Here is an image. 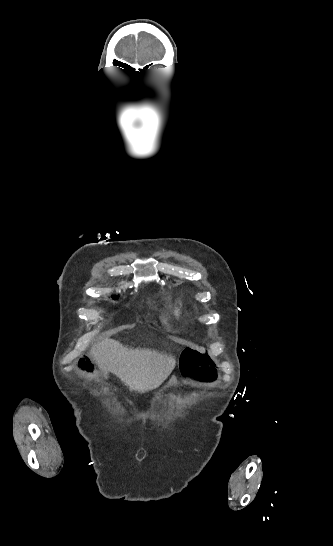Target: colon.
<instances>
[{
	"label": "colon",
	"mask_w": 333,
	"mask_h": 546,
	"mask_svg": "<svg viewBox=\"0 0 333 546\" xmlns=\"http://www.w3.org/2000/svg\"><path fill=\"white\" fill-rule=\"evenodd\" d=\"M79 367L86 371H94L93 364H88L85 358L79 360ZM182 371L184 375L194 378L200 382H213L217 377L216 368L210 355L203 349L187 348L182 354ZM95 378V373L88 375Z\"/></svg>",
	"instance_id": "5ec220e1"
}]
</instances>
